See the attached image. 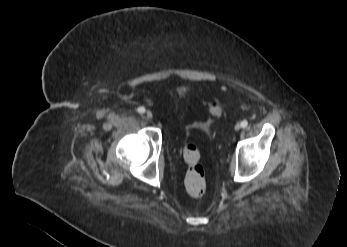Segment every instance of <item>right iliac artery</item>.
<instances>
[{
  "mask_svg": "<svg viewBox=\"0 0 347 247\" xmlns=\"http://www.w3.org/2000/svg\"><path fill=\"white\" fill-rule=\"evenodd\" d=\"M137 111L138 113L143 114L145 112V108L143 106L138 107Z\"/></svg>",
  "mask_w": 347,
  "mask_h": 247,
  "instance_id": "82829eb1",
  "label": "right iliac artery"
}]
</instances>
